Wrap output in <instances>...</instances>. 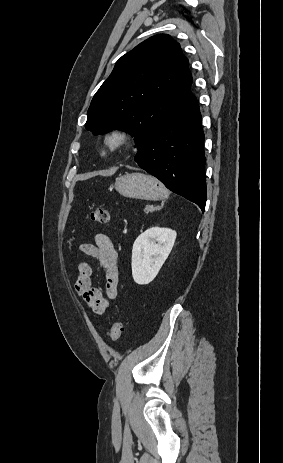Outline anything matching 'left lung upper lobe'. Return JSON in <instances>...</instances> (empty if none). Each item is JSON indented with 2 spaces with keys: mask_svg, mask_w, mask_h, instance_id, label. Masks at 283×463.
I'll list each match as a JSON object with an SVG mask.
<instances>
[{
  "mask_svg": "<svg viewBox=\"0 0 283 463\" xmlns=\"http://www.w3.org/2000/svg\"><path fill=\"white\" fill-rule=\"evenodd\" d=\"M188 59L169 35H155L123 55L94 95L85 127L93 134L122 128L138 151L154 131L194 98Z\"/></svg>",
  "mask_w": 283,
  "mask_h": 463,
  "instance_id": "obj_1",
  "label": "left lung upper lobe"
}]
</instances>
